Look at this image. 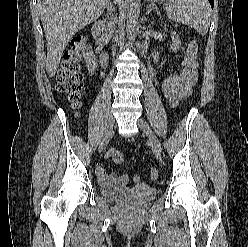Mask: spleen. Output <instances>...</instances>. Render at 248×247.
Listing matches in <instances>:
<instances>
[{
	"label": "spleen",
	"instance_id": "obj_1",
	"mask_svg": "<svg viewBox=\"0 0 248 247\" xmlns=\"http://www.w3.org/2000/svg\"><path fill=\"white\" fill-rule=\"evenodd\" d=\"M165 11L170 20L188 25L205 35L210 26L208 0H166Z\"/></svg>",
	"mask_w": 248,
	"mask_h": 247
}]
</instances>
